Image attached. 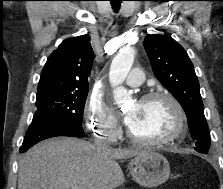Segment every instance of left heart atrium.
I'll use <instances>...</instances> for the list:
<instances>
[{
  "mask_svg": "<svg viewBox=\"0 0 223 189\" xmlns=\"http://www.w3.org/2000/svg\"><path fill=\"white\" fill-rule=\"evenodd\" d=\"M132 120H133V115H131V114L126 115V117L124 119V121L127 125H130L132 123Z\"/></svg>",
  "mask_w": 223,
  "mask_h": 189,
  "instance_id": "obj_1",
  "label": "left heart atrium"
}]
</instances>
